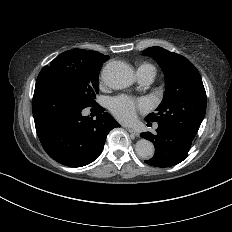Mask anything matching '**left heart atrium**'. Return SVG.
I'll use <instances>...</instances> for the list:
<instances>
[{"instance_id":"1","label":"left heart atrium","mask_w":232,"mask_h":232,"mask_svg":"<svg viewBox=\"0 0 232 232\" xmlns=\"http://www.w3.org/2000/svg\"><path fill=\"white\" fill-rule=\"evenodd\" d=\"M110 109L120 121L130 123L135 120L138 109H146V104L143 101L136 103L130 98L118 97L112 100Z\"/></svg>"}]
</instances>
